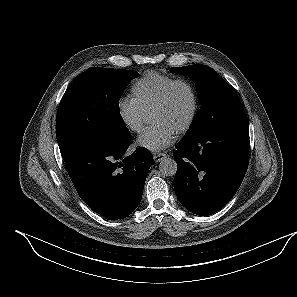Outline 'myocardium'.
<instances>
[{
  "mask_svg": "<svg viewBox=\"0 0 297 297\" xmlns=\"http://www.w3.org/2000/svg\"><path fill=\"white\" fill-rule=\"evenodd\" d=\"M178 85L185 86L188 89V91L190 93V97H191L190 114H189L187 120L185 121V123L176 132L177 135H183L191 129V127L193 126V124L197 118L198 111H199L198 95H197L194 85L190 81H188L187 79H184V78H178V79H174L172 82H170L165 87V89L161 93L160 97L158 98L156 103L151 108L150 113L165 107L171 97V94H172L174 88L177 87Z\"/></svg>",
  "mask_w": 297,
  "mask_h": 297,
  "instance_id": "1",
  "label": "myocardium"
}]
</instances>
